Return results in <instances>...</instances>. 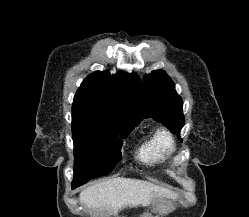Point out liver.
<instances>
[{
	"label": "liver",
	"mask_w": 249,
	"mask_h": 217,
	"mask_svg": "<svg viewBox=\"0 0 249 217\" xmlns=\"http://www.w3.org/2000/svg\"><path fill=\"white\" fill-rule=\"evenodd\" d=\"M80 202L90 208H105L113 215L126 207L147 206L153 197L175 200L177 195L163 187L132 178H114L93 184L80 193Z\"/></svg>",
	"instance_id": "1"
}]
</instances>
